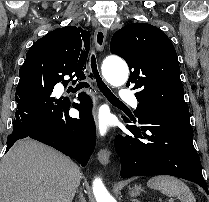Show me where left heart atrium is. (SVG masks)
<instances>
[{
    "label": "left heart atrium",
    "mask_w": 209,
    "mask_h": 202,
    "mask_svg": "<svg viewBox=\"0 0 209 202\" xmlns=\"http://www.w3.org/2000/svg\"><path fill=\"white\" fill-rule=\"evenodd\" d=\"M92 119L100 133H104L107 129L106 123H105V114L100 110H96L92 114Z\"/></svg>",
    "instance_id": "left-heart-atrium-1"
}]
</instances>
